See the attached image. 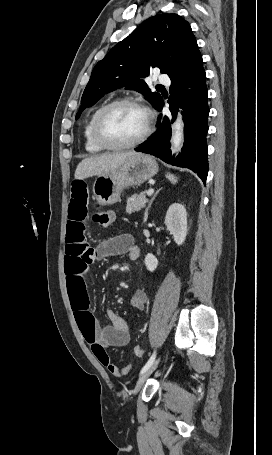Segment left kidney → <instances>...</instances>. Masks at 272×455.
<instances>
[{
  "label": "left kidney",
  "mask_w": 272,
  "mask_h": 455,
  "mask_svg": "<svg viewBox=\"0 0 272 455\" xmlns=\"http://www.w3.org/2000/svg\"><path fill=\"white\" fill-rule=\"evenodd\" d=\"M165 225L177 245L183 244L187 235V212L182 204L174 203L169 207L165 216ZM144 263L146 268L153 272L157 268L158 260L149 253L146 255Z\"/></svg>",
  "instance_id": "5707ae66"
}]
</instances>
